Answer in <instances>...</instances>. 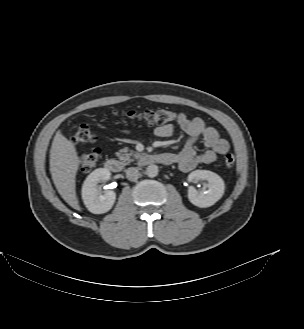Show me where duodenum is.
I'll use <instances>...</instances> for the list:
<instances>
[{
  "label": "duodenum",
  "mask_w": 304,
  "mask_h": 329,
  "mask_svg": "<svg viewBox=\"0 0 304 329\" xmlns=\"http://www.w3.org/2000/svg\"><path fill=\"white\" fill-rule=\"evenodd\" d=\"M141 164H164L170 165L173 163V157L165 153H153L143 156L140 159ZM105 168L112 173H119L123 169V164L116 158H108L105 161Z\"/></svg>",
  "instance_id": "duodenum-1"
}]
</instances>
